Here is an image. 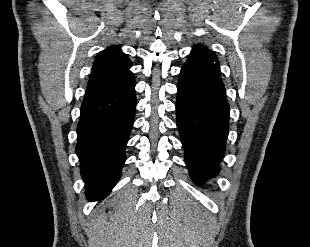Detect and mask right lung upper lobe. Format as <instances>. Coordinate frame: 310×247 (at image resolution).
Instances as JSON below:
<instances>
[{
    "label": "right lung upper lobe",
    "instance_id": "obj_1",
    "mask_svg": "<svg viewBox=\"0 0 310 247\" xmlns=\"http://www.w3.org/2000/svg\"><path fill=\"white\" fill-rule=\"evenodd\" d=\"M130 59L119 47L108 48L98 54L92 67L88 89L120 86L134 81L129 68Z\"/></svg>",
    "mask_w": 310,
    "mask_h": 247
}]
</instances>
